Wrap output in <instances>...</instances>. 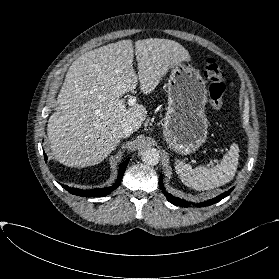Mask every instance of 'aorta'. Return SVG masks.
<instances>
[{"label": "aorta", "mask_w": 279, "mask_h": 279, "mask_svg": "<svg viewBox=\"0 0 279 279\" xmlns=\"http://www.w3.org/2000/svg\"><path fill=\"white\" fill-rule=\"evenodd\" d=\"M160 159L159 152L154 148H148L142 153V161L147 165H157Z\"/></svg>", "instance_id": "762f6f07"}]
</instances>
